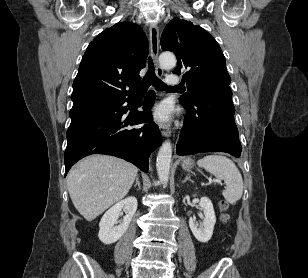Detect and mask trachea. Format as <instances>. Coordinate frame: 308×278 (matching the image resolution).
Here are the masks:
<instances>
[{
	"instance_id": "trachea-1",
	"label": "trachea",
	"mask_w": 308,
	"mask_h": 278,
	"mask_svg": "<svg viewBox=\"0 0 308 278\" xmlns=\"http://www.w3.org/2000/svg\"><path fill=\"white\" fill-rule=\"evenodd\" d=\"M148 65L149 69L146 75L144 76L138 90V94H143L146 92L147 88L152 85L156 87L159 90H176L179 89V87H170L167 86L162 80H160L156 75L154 71V65L151 58L148 59Z\"/></svg>"
}]
</instances>
